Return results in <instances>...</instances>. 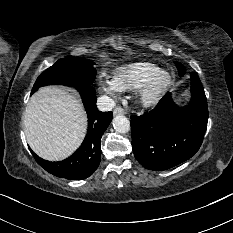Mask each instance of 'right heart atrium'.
Listing matches in <instances>:
<instances>
[{
	"label": "right heart atrium",
	"mask_w": 233,
	"mask_h": 233,
	"mask_svg": "<svg viewBox=\"0 0 233 233\" xmlns=\"http://www.w3.org/2000/svg\"><path fill=\"white\" fill-rule=\"evenodd\" d=\"M99 85L103 92L114 98L119 97V95L122 92V90L117 86L115 80L109 77H102L99 82Z\"/></svg>",
	"instance_id": "right-heart-atrium-1"
}]
</instances>
